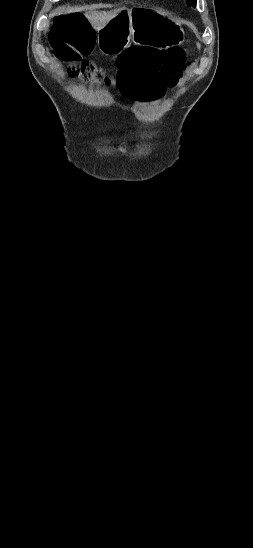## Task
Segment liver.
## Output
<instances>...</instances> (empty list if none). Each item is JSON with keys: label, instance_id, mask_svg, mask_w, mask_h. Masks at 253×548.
<instances>
[{"label": "liver", "instance_id": "obj_1", "mask_svg": "<svg viewBox=\"0 0 253 548\" xmlns=\"http://www.w3.org/2000/svg\"><path fill=\"white\" fill-rule=\"evenodd\" d=\"M65 7H58L53 11L54 14H60L64 12ZM74 10V9H73ZM125 10V8H119L111 11H88L85 14V17L91 24L92 28L96 31L102 29L107 25V23L112 20L116 15H118L121 11Z\"/></svg>", "mask_w": 253, "mask_h": 548}]
</instances>
